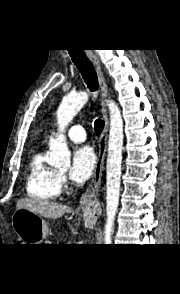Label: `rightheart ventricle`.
<instances>
[{
  "mask_svg": "<svg viewBox=\"0 0 180 294\" xmlns=\"http://www.w3.org/2000/svg\"><path fill=\"white\" fill-rule=\"evenodd\" d=\"M26 191L39 200H53L60 194L58 173L47 164L45 150L37 151L30 160Z\"/></svg>",
  "mask_w": 180,
  "mask_h": 294,
  "instance_id": "right-heart-ventricle-1",
  "label": "right heart ventricle"
}]
</instances>
